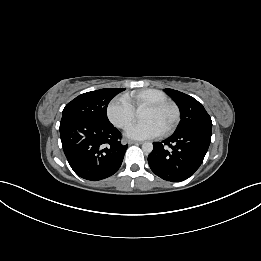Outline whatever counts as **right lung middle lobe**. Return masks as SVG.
Instances as JSON below:
<instances>
[{
	"instance_id": "dd1d6c3e",
	"label": "right lung middle lobe",
	"mask_w": 261,
	"mask_h": 261,
	"mask_svg": "<svg viewBox=\"0 0 261 261\" xmlns=\"http://www.w3.org/2000/svg\"><path fill=\"white\" fill-rule=\"evenodd\" d=\"M123 90L125 89L106 88L81 94L65 106L62 116H72L99 124H109L106 115L108 103Z\"/></svg>"
}]
</instances>
